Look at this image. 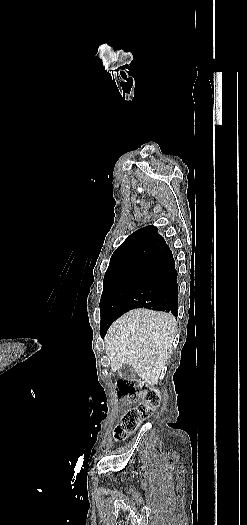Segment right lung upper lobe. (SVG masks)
<instances>
[{
	"instance_id": "cb5924a9",
	"label": "right lung upper lobe",
	"mask_w": 247,
	"mask_h": 525,
	"mask_svg": "<svg viewBox=\"0 0 247 525\" xmlns=\"http://www.w3.org/2000/svg\"><path fill=\"white\" fill-rule=\"evenodd\" d=\"M168 245L158 234V228L150 225L134 233L113 253L107 271H119L132 268L151 256L161 254Z\"/></svg>"
}]
</instances>
